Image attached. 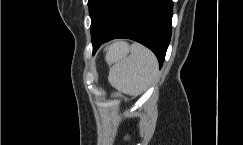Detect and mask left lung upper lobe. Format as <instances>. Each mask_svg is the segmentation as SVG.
<instances>
[{
  "label": "left lung upper lobe",
  "instance_id": "5c2ea615",
  "mask_svg": "<svg viewBox=\"0 0 243 145\" xmlns=\"http://www.w3.org/2000/svg\"><path fill=\"white\" fill-rule=\"evenodd\" d=\"M128 0H88L91 28L107 31Z\"/></svg>",
  "mask_w": 243,
  "mask_h": 145
}]
</instances>
